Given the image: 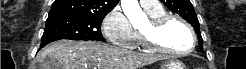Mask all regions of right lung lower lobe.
<instances>
[{"mask_svg":"<svg viewBox=\"0 0 246 69\" xmlns=\"http://www.w3.org/2000/svg\"><path fill=\"white\" fill-rule=\"evenodd\" d=\"M50 42H43V43H41V45H40V48H43L44 46H46L47 44H49Z\"/></svg>","mask_w":246,"mask_h":69,"instance_id":"right-lung-lower-lobe-1","label":"right lung lower lobe"}]
</instances>
